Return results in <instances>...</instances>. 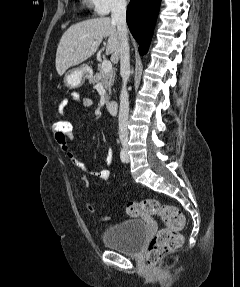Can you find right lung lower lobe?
Listing matches in <instances>:
<instances>
[{"label": "right lung lower lobe", "instance_id": "98d812e1", "mask_svg": "<svg viewBox=\"0 0 240 287\" xmlns=\"http://www.w3.org/2000/svg\"><path fill=\"white\" fill-rule=\"evenodd\" d=\"M161 0H131L127 7L128 27L139 43L141 55L148 50Z\"/></svg>", "mask_w": 240, "mask_h": 287}]
</instances>
